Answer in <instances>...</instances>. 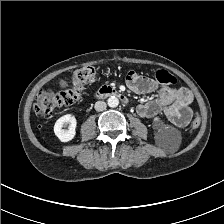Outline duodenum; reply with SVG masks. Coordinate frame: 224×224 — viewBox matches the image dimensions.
Listing matches in <instances>:
<instances>
[{
	"mask_svg": "<svg viewBox=\"0 0 224 224\" xmlns=\"http://www.w3.org/2000/svg\"><path fill=\"white\" fill-rule=\"evenodd\" d=\"M111 96L118 97L125 104H128L129 102L127 96L124 93L112 87L104 86L98 92L95 93V97L98 99Z\"/></svg>",
	"mask_w": 224,
	"mask_h": 224,
	"instance_id": "duodenum-1",
	"label": "duodenum"
}]
</instances>
